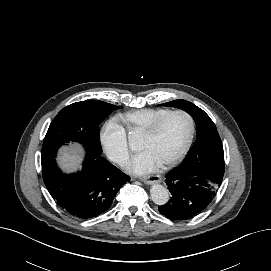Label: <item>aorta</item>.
Segmentation results:
<instances>
[{
	"instance_id": "762f6f07",
	"label": "aorta",
	"mask_w": 271,
	"mask_h": 271,
	"mask_svg": "<svg viewBox=\"0 0 271 271\" xmlns=\"http://www.w3.org/2000/svg\"><path fill=\"white\" fill-rule=\"evenodd\" d=\"M152 201L157 205H164L169 200V191L163 185L153 184L150 189Z\"/></svg>"
}]
</instances>
